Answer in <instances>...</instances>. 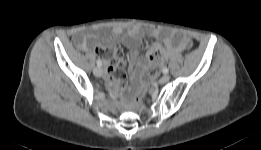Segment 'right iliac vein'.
Segmentation results:
<instances>
[{
    "mask_svg": "<svg viewBox=\"0 0 261 150\" xmlns=\"http://www.w3.org/2000/svg\"><path fill=\"white\" fill-rule=\"evenodd\" d=\"M93 73L97 77H101L103 75V70L100 67H96L93 70Z\"/></svg>",
    "mask_w": 261,
    "mask_h": 150,
    "instance_id": "1",
    "label": "right iliac vein"
}]
</instances>
